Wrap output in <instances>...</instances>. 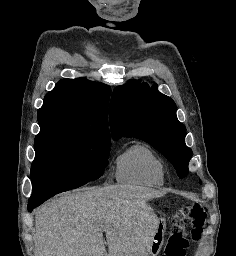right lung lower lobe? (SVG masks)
Wrapping results in <instances>:
<instances>
[{
    "label": "right lung lower lobe",
    "mask_w": 236,
    "mask_h": 256,
    "mask_svg": "<svg viewBox=\"0 0 236 256\" xmlns=\"http://www.w3.org/2000/svg\"><path fill=\"white\" fill-rule=\"evenodd\" d=\"M64 192V191H63ZM61 193V192H60ZM58 194V193H56ZM56 194H53V195H50V196H47L45 198H42V199H39V200H33V201H29V204H28V210L31 212L35 207L39 206L40 204H42L44 201H46L47 199H49L50 197L56 195Z\"/></svg>",
    "instance_id": "obj_1"
}]
</instances>
